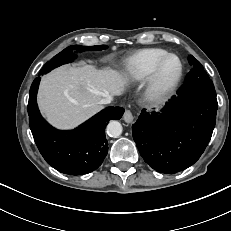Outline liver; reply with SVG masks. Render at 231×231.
Segmentation results:
<instances>
[{"label":"liver","instance_id":"6515ba94","mask_svg":"<svg viewBox=\"0 0 231 231\" xmlns=\"http://www.w3.org/2000/svg\"><path fill=\"white\" fill-rule=\"evenodd\" d=\"M126 84L124 76L110 68L62 66L42 78L39 108L53 126L72 128L94 115L102 98L122 94Z\"/></svg>","mask_w":231,"mask_h":231}]
</instances>
